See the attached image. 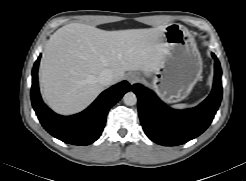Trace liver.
<instances>
[{"label": "liver", "instance_id": "6515ba94", "mask_svg": "<svg viewBox=\"0 0 246 181\" xmlns=\"http://www.w3.org/2000/svg\"><path fill=\"white\" fill-rule=\"evenodd\" d=\"M165 27L104 31L81 23L59 28L48 40L40 63V86L47 104L60 114L86 108L103 90L98 76L113 72V83L126 71L146 76L162 65L167 52Z\"/></svg>", "mask_w": 246, "mask_h": 181}]
</instances>
